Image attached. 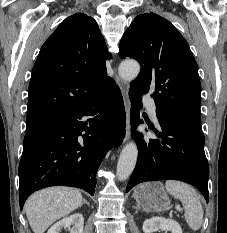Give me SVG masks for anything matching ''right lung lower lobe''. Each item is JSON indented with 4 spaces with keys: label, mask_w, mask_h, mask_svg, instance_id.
Masks as SVG:
<instances>
[{
    "label": "right lung lower lobe",
    "mask_w": 227,
    "mask_h": 233,
    "mask_svg": "<svg viewBox=\"0 0 227 233\" xmlns=\"http://www.w3.org/2000/svg\"><path fill=\"white\" fill-rule=\"evenodd\" d=\"M124 134L123 99L113 80L85 106L26 132L18 171L20 209L34 191L49 186L78 187L94 195L100 162Z\"/></svg>",
    "instance_id": "1"
}]
</instances>
